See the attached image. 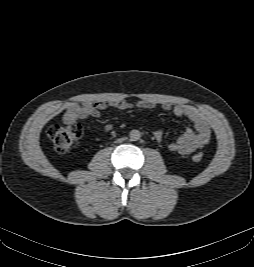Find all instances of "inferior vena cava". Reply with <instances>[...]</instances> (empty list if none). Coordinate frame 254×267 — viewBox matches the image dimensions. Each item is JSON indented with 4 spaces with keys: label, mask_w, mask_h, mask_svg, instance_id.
<instances>
[{
    "label": "inferior vena cava",
    "mask_w": 254,
    "mask_h": 267,
    "mask_svg": "<svg viewBox=\"0 0 254 267\" xmlns=\"http://www.w3.org/2000/svg\"><path fill=\"white\" fill-rule=\"evenodd\" d=\"M122 140H124V139H123V138H122V139H118L117 141H118V142H121Z\"/></svg>",
    "instance_id": "1"
}]
</instances>
